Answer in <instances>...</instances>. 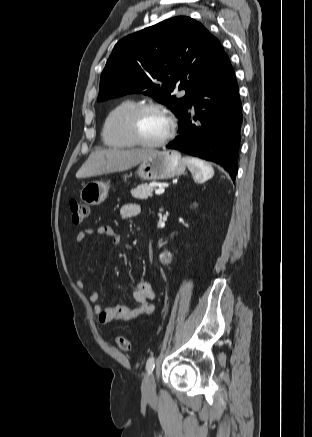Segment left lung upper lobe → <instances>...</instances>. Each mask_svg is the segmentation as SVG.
I'll use <instances>...</instances> for the list:
<instances>
[{
  "mask_svg": "<svg viewBox=\"0 0 312 437\" xmlns=\"http://www.w3.org/2000/svg\"><path fill=\"white\" fill-rule=\"evenodd\" d=\"M224 54L199 22L185 16L167 19L115 45L100 78L98 101L143 93L180 118ZM176 86L186 90L183 98L171 95Z\"/></svg>",
  "mask_w": 312,
  "mask_h": 437,
  "instance_id": "5c2ea615",
  "label": "left lung upper lobe"
}]
</instances>
